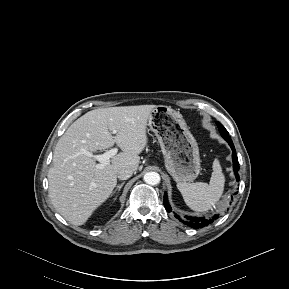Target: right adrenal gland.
Instances as JSON below:
<instances>
[{"mask_svg":"<svg viewBox=\"0 0 289 289\" xmlns=\"http://www.w3.org/2000/svg\"><path fill=\"white\" fill-rule=\"evenodd\" d=\"M124 184H125V182H122L121 184L117 185L116 189L111 193V195H113L114 193H116V191H117V193H119L120 189L124 186ZM116 198H117V195H116V197L114 198V201L116 200Z\"/></svg>","mask_w":289,"mask_h":289,"instance_id":"right-adrenal-gland-1","label":"right adrenal gland"}]
</instances>
